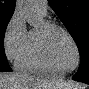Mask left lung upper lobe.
<instances>
[{"instance_id":"obj_1","label":"left lung upper lobe","mask_w":89,"mask_h":89,"mask_svg":"<svg viewBox=\"0 0 89 89\" xmlns=\"http://www.w3.org/2000/svg\"><path fill=\"white\" fill-rule=\"evenodd\" d=\"M79 49L80 66H89V0H48Z\"/></svg>"}]
</instances>
